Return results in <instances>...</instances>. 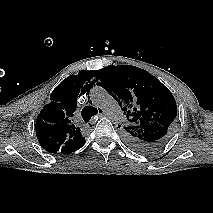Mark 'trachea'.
<instances>
[{
    "label": "trachea",
    "mask_w": 213,
    "mask_h": 213,
    "mask_svg": "<svg viewBox=\"0 0 213 213\" xmlns=\"http://www.w3.org/2000/svg\"><path fill=\"white\" fill-rule=\"evenodd\" d=\"M99 112H101L100 109H99ZM97 113H98V110L95 107L86 106L82 109L81 115L85 122H89L91 117L96 115Z\"/></svg>",
    "instance_id": "1"
}]
</instances>
